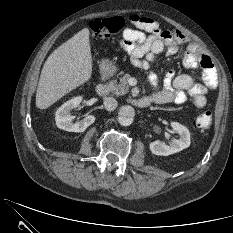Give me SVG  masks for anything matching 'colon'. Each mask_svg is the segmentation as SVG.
I'll return each instance as SVG.
<instances>
[{
    "label": "colon",
    "mask_w": 233,
    "mask_h": 233,
    "mask_svg": "<svg viewBox=\"0 0 233 233\" xmlns=\"http://www.w3.org/2000/svg\"><path fill=\"white\" fill-rule=\"evenodd\" d=\"M125 26L122 17L97 18L90 22V29L96 38H109L117 35ZM212 123V113L205 111L198 115L193 121V127L203 131L209 128Z\"/></svg>",
    "instance_id": "colon-1"
}]
</instances>
